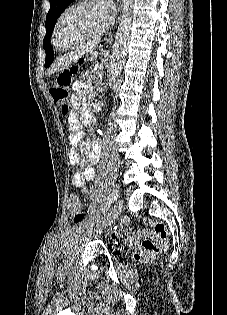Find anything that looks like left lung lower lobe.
<instances>
[{
  "mask_svg": "<svg viewBox=\"0 0 227 315\" xmlns=\"http://www.w3.org/2000/svg\"><path fill=\"white\" fill-rule=\"evenodd\" d=\"M54 60V52L52 49H49L47 52V62L45 63V67H48Z\"/></svg>",
  "mask_w": 227,
  "mask_h": 315,
  "instance_id": "1",
  "label": "left lung lower lobe"
}]
</instances>
